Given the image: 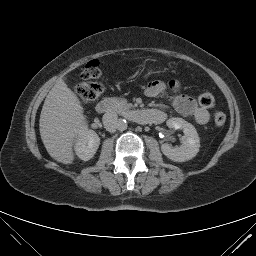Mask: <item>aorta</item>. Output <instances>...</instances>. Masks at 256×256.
Instances as JSON below:
<instances>
[{
	"label": "aorta",
	"mask_w": 256,
	"mask_h": 256,
	"mask_svg": "<svg viewBox=\"0 0 256 256\" xmlns=\"http://www.w3.org/2000/svg\"><path fill=\"white\" fill-rule=\"evenodd\" d=\"M127 129V121L125 119H120L118 123V130L124 131Z\"/></svg>",
	"instance_id": "obj_1"
}]
</instances>
